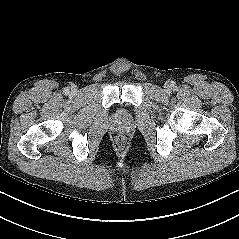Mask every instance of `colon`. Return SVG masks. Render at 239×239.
Here are the masks:
<instances>
[{
  "instance_id": "5ec220e1",
  "label": "colon",
  "mask_w": 239,
  "mask_h": 239,
  "mask_svg": "<svg viewBox=\"0 0 239 239\" xmlns=\"http://www.w3.org/2000/svg\"><path fill=\"white\" fill-rule=\"evenodd\" d=\"M118 141L122 142L123 138L122 137H118Z\"/></svg>"
}]
</instances>
